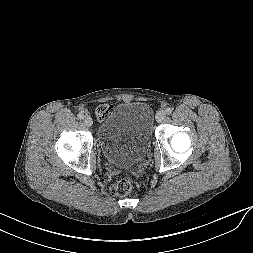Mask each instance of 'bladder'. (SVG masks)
<instances>
[{"mask_svg": "<svg viewBox=\"0 0 253 253\" xmlns=\"http://www.w3.org/2000/svg\"><path fill=\"white\" fill-rule=\"evenodd\" d=\"M154 112L146 102H122L98 128V142L105 159L119 167L138 163L147 152L153 133Z\"/></svg>", "mask_w": 253, "mask_h": 253, "instance_id": "1", "label": "bladder"}]
</instances>
